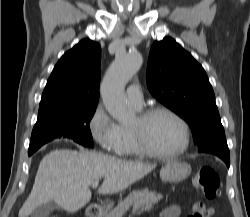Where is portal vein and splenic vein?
I'll use <instances>...</instances> for the list:
<instances>
[{"mask_svg": "<svg viewBox=\"0 0 250 217\" xmlns=\"http://www.w3.org/2000/svg\"><path fill=\"white\" fill-rule=\"evenodd\" d=\"M98 184H99V180H96V181H94V182L92 183V187H93V188H96V187L98 186Z\"/></svg>", "mask_w": 250, "mask_h": 217, "instance_id": "portal-vein-and-splenic-vein-1", "label": "portal vein and splenic vein"}]
</instances>
